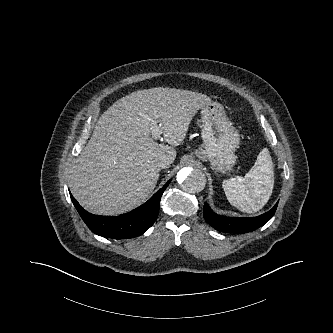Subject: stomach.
I'll list each match as a JSON object with an SVG mask.
<instances>
[{"label": "stomach", "mask_w": 333, "mask_h": 333, "mask_svg": "<svg viewBox=\"0 0 333 333\" xmlns=\"http://www.w3.org/2000/svg\"><path fill=\"white\" fill-rule=\"evenodd\" d=\"M203 144L195 152L201 160H208L213 170H231L236 161L240 135L218 102H210L201 108Z\"/></svg>", "instance_id": "stomach-1"}]
</instances>
